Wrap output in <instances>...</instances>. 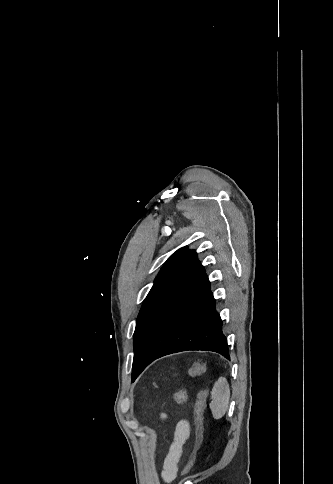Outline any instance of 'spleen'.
Listing matches in <instances>:
<instances>
[{
	"label": "spleen",
	"instance_id": "obj_1",
	"mask_svg": "<svg viewBox=\"0 0 333 484\" xmlns=\"http://www.w3.org/2000/svg\"><path fill=\"white\" fill-rule=\"evenodd\" d=\"M211 399L209 407L212 416L219 420L225 415L230 399V388L225 377H221L215 382L211 391Z\"/></svg>",
	"mask_w": 333,
	"mask_h": 484
}]
</instances>
